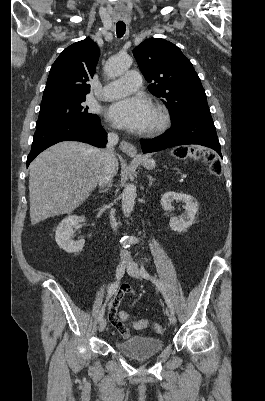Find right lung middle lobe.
<instances>
[{
  "label": "right lung middle lobe",
  "mask_w": 265,
  "mask_h": 401,
  "mask_svg": "<svg viewBox=\"0 0 265 401\" xmlns=\"http://www.w3.org/2000/svg\"><path fill=\"white\" fill-rule=\"evenodd\" d=\"M85 97L68 98L55 100L46 104H41L39 117L36 126L50 122H86L100 123L97 115L88 112V108L83 106Z\"/></svg>",
  "instance_id": "obj_1"
}]
</instances>
